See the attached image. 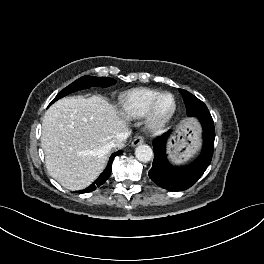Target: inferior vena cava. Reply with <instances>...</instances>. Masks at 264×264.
<instances>
[{
    "label": "inferior vena cava",
    "mask_w": 264,
    "mask_h": 264,
    "mask_svg": "<svg viewBox=\"0 0 264 264\" xmlns=\"http://www.w3.org/2000/svg\"><path fill=\"white\" fill-rule=\"evenodd\" d=\"M128 136H129V132L120 133L115 139H113L110 142V147L111 148H119V149L123 148L124 142Z\"/></svg>",
    "instance_id": "obj_1"
}]
</instances>
